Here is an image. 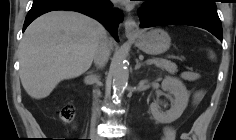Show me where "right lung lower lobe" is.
<instances>
[{
  "instance_id": "98d812e1",
  "label": "right lung lower lobe",
  "mask_w": 236,
  "mask_h": 140,
  "mask_svg": "<svg viewBox=\"0 0 236 140\" xmlns=\"http://www.w3.org/2000/svg\"><path fill=\"white\" fill-rule=\"evenodd\" d=\"M54 10H72L86 14L101 22L118 41L117 27L122 21L121 13L113 8L109 0H34L28 12L23 31L40 15Z\"/></svg>"
}]
</instances>
